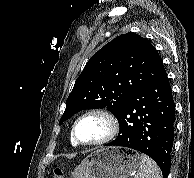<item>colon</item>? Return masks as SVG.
<instances>
[{"label": "colon", "instance_id": "5ec220e1", "mask_svg": "<svg viewBox=\"0 0 194 178\" xmlns=\"http://www.w3.org/2000/svg\"><path fill=\"white\" fill-rule=\"evenodd\" d=\"M53 178H63V172L60 168L54 169Z\"/></svg>", "mask_w": 194, "mask_h": 178}]
</instances>
